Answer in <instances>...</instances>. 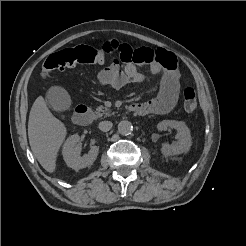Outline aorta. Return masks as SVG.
Listing matches in <instances>:
<instances>
[{"label":"aorta","instance_id":"1","mask_svg":"<svg viewBox=\"0 0 246 246\" xmlns=\"http://www.w3.org/2000/svg\"><path fill=\"white\" fill-rule=\"evenodd\" d=\"M133 131V126L130 121L123 120L118 124V132L122 135H129Z\"/></svg>","mask_w":246,"mask_h":246}]
</instances>
